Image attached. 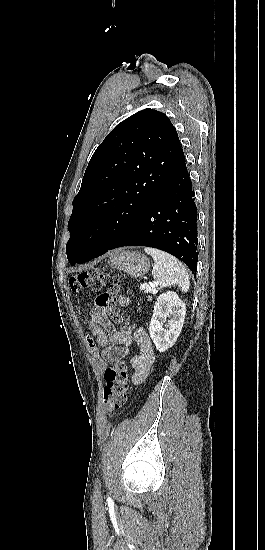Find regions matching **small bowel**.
<instances>
[{"mask_svg":"<svg viewBox=\"0 0 265 550\" xmlns=\"http://www.w3.org/2000/svg\"><path fill=\"white\" fill-rule=\"evenodd\" d=\"M121 301L123 304L127 302L126 299ZM88 326L95 340V343L90 341V351L96 359L98 373L104 374L113 363L124 359L129 353V347L135 342L139 352L130 359L134 369L131 381L134 385L143 382L155 361L152 341L146 331L134 327L119 330L99 311L90 313ZM98 348L101 349L100 353Z\"/></svg>","mask_w":265,"mask_h":550,"instance_id":"obj_1","label":"small bowel"}]
</instances>
